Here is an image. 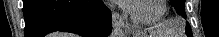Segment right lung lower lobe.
Instances as JSON below:
<instances>
[{"label": "right lung lower lobe", "mask_w": 219, "mask_h": 37, "mask_svg": "<svg viewBox=\"0 0 219 37\" xmlns=\"http://www.w3.org/2000/svg\"><path fill=\"white\" fill-rule=\"evenodd\" d=\"M25 37H43L53 31L84 37H108L110 13L101 0H23Z\"/></svg>", "instance_id": "obj_1"}]
</instances>
